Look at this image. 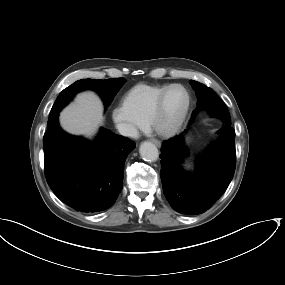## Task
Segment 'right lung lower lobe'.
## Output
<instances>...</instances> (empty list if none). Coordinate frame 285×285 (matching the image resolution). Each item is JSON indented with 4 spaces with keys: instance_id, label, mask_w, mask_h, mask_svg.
<instances>
[{
    "instance_id": "98d812e1",
    "label": "right lung lower lobe",
    "mask_w": 285,
    "mask_h": 285,
    "mask_svg": "<svg viewBox=\"0 0 285 285\" xmlns=\"http://www.w3.org/2000/svg\"><path fill=\"white\" fill-rule=\"evenodd\" d=\"M45 176L55 195L76 211L110 208L122 190L124 163L136 144L101 129L93 142L64 132L58 119L43 139Z\"/></svg>"
}]
</instances>
